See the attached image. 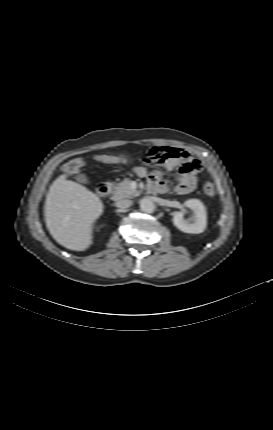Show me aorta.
Here are the masks:
<instances>
[{
	"mask_svg": "<svg viewBox=\"0 0 273 430\" xmlns=\"http://www.w3.org/2000/svg\"><path fill=\"white\" fill-rule=\"evenodd\" d=\"M140 208L145 213H153L155 210V204L153 203L152 200H150L148 198H143L140 201Z\"/></svg>",
	"mask_w": 273,
	"mask_h": 430,
	"instance_id": "1",
	"label": "aorta"
}]
</instances>
